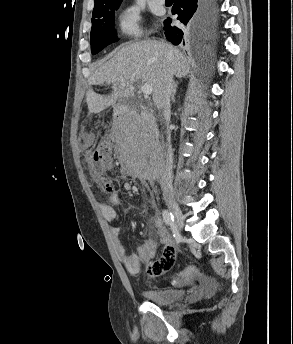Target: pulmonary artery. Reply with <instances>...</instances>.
<instances>
[{"label": "pulmonary artery", "instance_id": "pulmonary-artery-1", "mask_svg": "<svg viewBox=\"0 0 293 344\" xmlns=\"http://www.w3.org/2000/svg\"><path fill=\"white\" fill-rule=\"evenodd\" d=\"M157 4H164L165 0H153Z\"/></svg>", "mask_w": 293, "mask_h": 344}]
</instances>
